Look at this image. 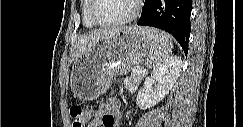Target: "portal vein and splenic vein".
Here are the masks:
<instances>
[{
	"label": "portal vein and splenic vein",
	"instance_id": "portal-vein-and-splenic-vein-1",
	"mask_svg": "<svg viewBox=\"0 0 243 127\" xmlns=\"http://www.w3.org/2000/svg\"><path fill=\"white\" fill-rule=\"evenodd\" d=\"M140 72L143 73V74H145L147 71L146 70H141Z\"/></svg>",
	"mask_w": 243,
	"mask_h": 127
}]
</instances>
